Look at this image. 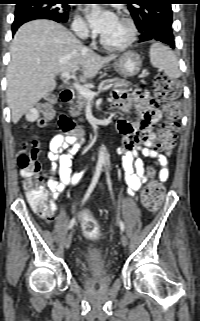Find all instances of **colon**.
I'll return each instance as SVG.
<instances>
[{
	"mask_svg": "<svg viewBox=\"0 0 200 321\" xmlns=\"http://www.w3.org/2000/svg\"><path fill=\"white\" fill-rule=\"evenodd\" d=\"M154 93L157 98L165 102L164 110L167 118L158 129V148L169 153L175 146L179 128L180 105L177 98L180 94L179 83L167 76L158 74L154 80ZM55 98H46L33 112L30 123L35 128L43 127L54 115ZM17 166L23 180V186L27 193L28 201L33 210L41 217L49 219L52 211L46 202L47 192L40 184L42 165L40 162L39 140L32 138L22 145L16 155ZM164 197V187L160 180L152 178L141 194L142 206L149 212H155ZM80 210L79 206L75 207ZM82 230L86 237L96 239L100 229L97 221L87 212L81 215Z\"/></svg>",
	"mask_w": 200,
	"mask_h": 321,
	"instance_id": "obj_1",
	"label": "colon"
}]
</instances>
